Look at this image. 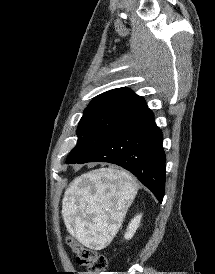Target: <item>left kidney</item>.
Wrapping results in <instances>:
<instances>
[{"instance_id":"obj_1","label":"left kidney","mask_w":215,"mask_h":274,"mask_svg":"<svg viewBox=\"0 0 215 274\" xmlns=\"http://www.w3.org/2000/svg\"><path fill=\"white\" fill-rule=\"evenodd\" d=\"M141 218H142V214H139L131 220V222L128 225L127 231L125 232V235H124V238L126 240H129L134 236L136 230L138 229L140 225Z\"/></svg>"}]
</instances>
